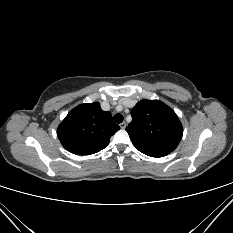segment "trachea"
<instances>
[{
  "label": "trachea",
  "mask_w": 233,
  "mask_h": 233,
  "mask_svg": "<svg viewBox=\"0 0 233 233\" xmlns=\"http://www.w3.org/2000/svg\"><path fill=\"white\" fill-rule=\"evenodd\" d=\"M123 119H124V117L120 113H117V114L114 115V121L116 123H121L123 121Z\"/></svg>",
  "instance_id": "obj_1"
}]
</instances>
